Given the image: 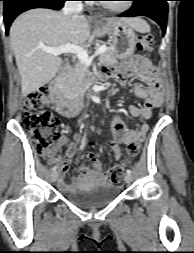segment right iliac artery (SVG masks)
Masks as SVG:
<instances>
[{"mask_svg":"<svg viewBox=\"0 0 194 253\" xmlns=\"http://www.w3.org/2000/svg\"><path fill=\"white\" fill-rule=\"evenodd\" d=\"M56 169H57V167L56 166H54L53 168H52V171H56Z\"/></svg>","mask_w":194,"mask_h":253,"instance_id":"obj_1","label":"right iliac artery"}]
</instances>
